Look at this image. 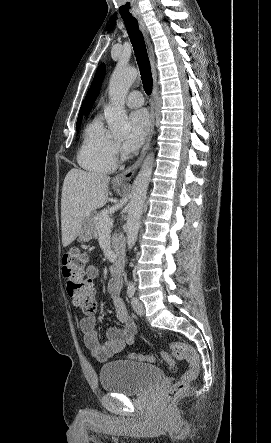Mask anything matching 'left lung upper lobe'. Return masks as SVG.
Here are the masks:
<instances>
[{
    "label": "left lung upper lobe",
    "instance_id": "1",
    "mask_svg": "<svg viewBox=\"0 0 271 443\" xmlns=\"http://www.w3.org/2000/svg\"><path fill=\"white\" fill-rule=\"evenodd\" d=\"M106 67L104 64H101L97 72L95 74L94 80L91 84L90 89L87 92L86 100H85V114H89L92 109V106L100 92V87L105 76Z\"/></svg>",
    "mask_w": 271,
    "mask_h": 443
}]
</instances>
